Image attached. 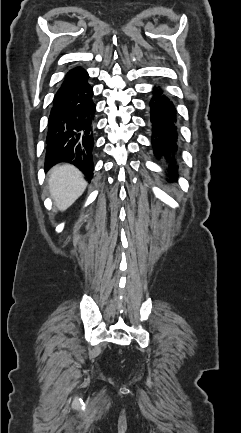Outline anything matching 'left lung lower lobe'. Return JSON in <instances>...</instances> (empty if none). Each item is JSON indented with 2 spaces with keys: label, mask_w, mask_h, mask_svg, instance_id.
Masks as SVG:
<instances>
[{
  "label": "left lung lower lobe",
  "mask_w": 241,
  "mask_h": 433,
  "mask_svg": "<svg viewBox=\"0 0 241 433\" xmlns=\"http://www.w3.org/2000/svg\"><path fill=\"white\" fill-rule=\"evenodd\" d=\"M151 143L154 154L169 161L170 177L177 178L176 155L179 144V121L176 108L160 87H154L149 101Z\"/></svg>",
  "instance_id": "0a47b994"
}]
</instances>
